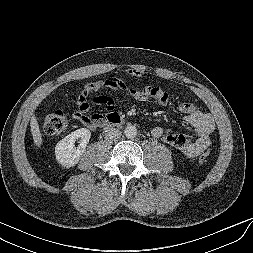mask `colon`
<instances>
[{"mask_svg":"<svg viewBox=\"0 0 253 253\" xmlns=\"http://www.w3.org/2000/svg\"><path fill=\"white\" fill-rule=\"evenodd\" d=\"M69 118L62 112H54L47 115L43 122V132L46 136H58L69 127ZM210 150L205 151L200 157V162H205L211 156Z\"/></svg>","mask_w":253,"mask_h":253,"instance_id":"1","label":"colon"}]
</instances>
